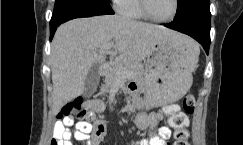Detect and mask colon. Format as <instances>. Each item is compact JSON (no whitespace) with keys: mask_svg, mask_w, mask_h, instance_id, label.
Here are the masks:
<instances>
[{"mask_svg":"<svg viewBox=\"0 0 243 145\" xmlns=\"http://www.w3.org/2000/svg\"><path fill=\"white\" fill-rule=\"evenodd\" d=\"M195 104L192 96H188L183 101V112H181L176 104H168L164 106L163 112L168 117V124L174 130L172 145H190L188 131V116L194 112ZM89 120L90 112L85 108L82 98H76L69 102L58 113V118H72ZM60 141L53 138L51 145H59Z\"/></svg>","mask_w":243,"mask_h":145,"instance_id":"1","label":"colon"}]
</instances>
